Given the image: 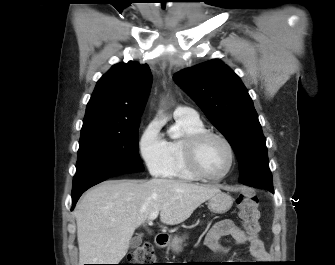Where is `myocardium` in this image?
I'll return each instance as SVG.
<instances>
[{"instance_id":"obj_1","label":"myocardium","mask_w":335,"mask_h":265,"mask_svg":"<svg viewBox=\"0 0 335 265\" xmlns=\"http://www.w3.org/2000/svg\"><path fill=\"white\" fill-rule=\"evenodd\" d=\"M210 138H216L220 140L222 143H224L229 152L228 166L225 171L218 176H210L206 174L199 164L200 149L202 145ZM184 152L185 161L191 173L198 179L210 182H218L223 180L232 171L236 160L235 150L232 143L224 135L210 130H204L189 136L184 143Z\"/></svg>"}]
</instances>
